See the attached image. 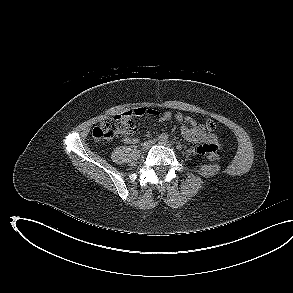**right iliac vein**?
Listing matches in <instances>:
<instances>
[{
    "instance_id": "obj_1",
    "label": "right iliac vein",
    "mask_w": 293,
    "mask_h": 293,
    "mask_svg": "<svg viewBox=\"0 0 293 293\" xmlns=\"http://www.w3.org/2000/svg\"><path fill=\"white\" fill-rule=\"evenodd\" d=\"M154 144V141L153 140H148V141H145L142 145V149L143 150H147L149 149L152 145Z\"/></svg>"
}]
</instances>
